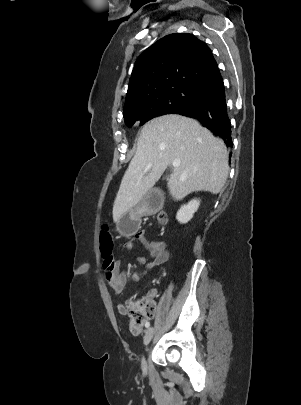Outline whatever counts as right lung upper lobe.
I'll return each instance as SVG.
<instances>
[{
	"instance_id": "obj_1",
	"label": "right lung upper lobe",
	"mask_w": 301,
	"mask_h": 405,
	"mask_svg": "<svg viewBox=\"0 0 301 405\" xmlns=\"http://www.w3.org/2000/svg\"><path fill=\"white\" fill-rule=\"evenodd\" d=\"M223 85L210 48L194 35L173 33L146 49L136 61L124 113L151 95L175 88L211 93Z\"/></svg>"
}]
</instances>
